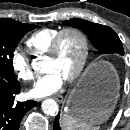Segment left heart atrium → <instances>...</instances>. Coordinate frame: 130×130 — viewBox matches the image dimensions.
<instances>
[{"instance_id":"left-heart-atrium-1","label":"left heart atrium","mask_w":130,"mask_h":130,"mask_svg":"<svg viewBox=\"0 0 130 130\" xmlns=\"http://www.w3.org/2000/svg\"><path fill=\"white\" fill-rule=\"evenodd\" d=\"M64 80L59 72L50 70L37 80L29 90V95L38 99L52 95L62 87Z\"/></svg>"}]
</instances>
